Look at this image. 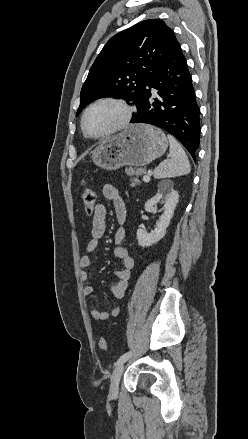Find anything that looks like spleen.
Here are the masks:
<instances>
[{
    "label": "spleen",
    "instance_id": "3e777b00",
    "mask_svg": "<svg viewBox=\"0 0 248 439\" xmlns=\"http://www.w3.org/2000/svg\"><path fill=\"white\" fill-rule=\"evenodd\" d=\"M170 143V158L161 162L154 170L156 179L173 178L187 175L191 167L188 157L178 141L171 135H168Z\"/></svg>",
    "mask_w": 248,
    "mask_h": 439
}]
</instances>
